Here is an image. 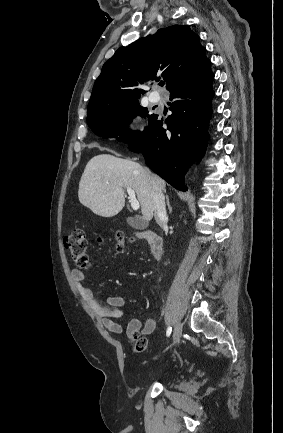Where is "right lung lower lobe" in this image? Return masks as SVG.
Wrapping results in <instances>:
<instances>
[{
	"label": "right lung lower lobe",
	"mask_w": 283,
	"mask_h": 433,
	"mask_svg": "<svg viewBox=\"0 0 283 433\" xmlns=\"http://www.w3.org/2000/svg\"><path fill=\"white\" fill-rule=\"evenodd\" d=\"M213 79L212 74L188 88L170 92V99H176L170 108L172 115L165 121L155 115L144 136L129 146L144 155L155 173L181 191L187 190L183 175L207 147ZM163 122L168 131L162 128Z\"/></svg>",
	"instance_id": "98d812e1"
}]
</instances>
